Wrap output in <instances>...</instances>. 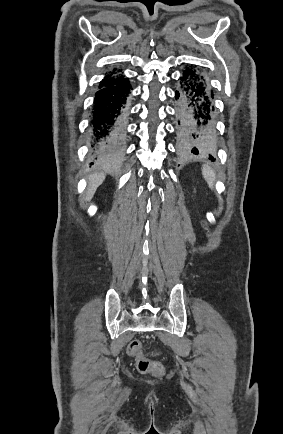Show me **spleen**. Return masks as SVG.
I'll list each match as a JSON object with an SVG mask.
<instances>
[{
	"instance_id": "1",
	"label": "spleen",
	"mask_w": 283,
	"mask_h": 434,
	"mask_svg": "<svg viewBox=\"0 0 283 434\" xmlns=\"http://www.w3.org/2000/svg\"><path fill=\"white\" fill-rule=\"evenodd\" d=\"M202 174L204 179L207 181L209 187L213 188V183L216 178L213 169L208 165H203Z\"/></svg>"
}]
</instances>
